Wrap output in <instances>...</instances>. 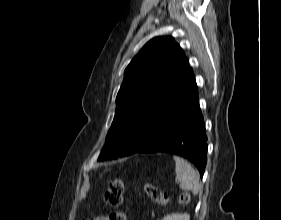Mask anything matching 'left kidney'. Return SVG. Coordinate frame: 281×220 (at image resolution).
Listing matches in <instances>:
<instances>
[{"label":"left kidney","mask_w":281,"mask_h":220,"mask_svg":"<svg viewBox=\"0 0 281 220\" xmlns=\"http://www.w3.org/2000/svg\"><path fill=\"white\" fill-rule=\"evenodd\" d=\"M162 220H190V215L187 213L184 214L173 213L165 216Z\"/></svg>","instance_id":"1"}]
</instances>
